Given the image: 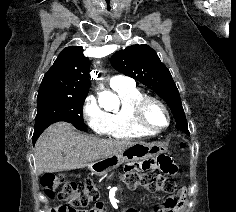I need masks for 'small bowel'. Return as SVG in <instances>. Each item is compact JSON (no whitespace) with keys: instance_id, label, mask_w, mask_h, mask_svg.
Returning <instances> with one entry per match:
<instances>
[{"instance_id":"small-bowel-1","label":"small bowel","mask_w":236,"mask_h":212,"mask_svg":"<svg viewBox=\"0 0 236 212\" xmlns=\"http://www.w3.org/2000/svg\"><path fill=\"white\" fill-rule=\"evenodd\" d=\"M130 189H134V186H130ZM96 202L99 205H91V209H84V212H113L112 210L115 209L114 205H104L108 204V199H97ZM182 207V201L167 199L155 212H181ZM114 212H129V210L123 209L122 205H117Z\"/></svg>"}]
</instances>
